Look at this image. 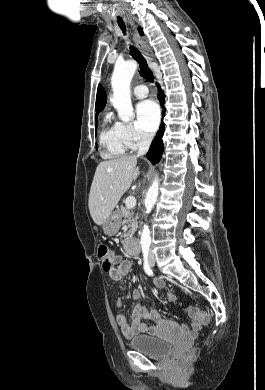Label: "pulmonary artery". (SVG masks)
Segmentation results:
<instances>
[{"label": "pulmonary artery", "mask_w": 265, "mask_h": 390, "mask_svg": "<svg viewBox=\"0 0 265 390\" xmlns=\"http://www.w3.org/2000/svg\"><path fill=\"white\" fill-rule=\"evenodd\" d=\"M133 94L139 99L145 98L148 95V88L145 85H137L133 89Z\"/></svg>", "instance_id": "obj_1"}]
</instances>
